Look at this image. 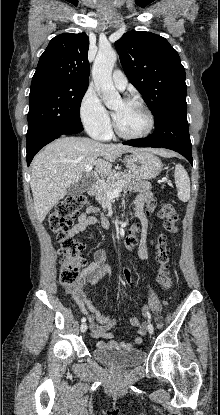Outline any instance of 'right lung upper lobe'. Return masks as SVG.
Returning a JSON list of instances; mask_svg holds the SVG:
<instances>
[{
  "label": "right lung upper lobe",
  "mask_w": 220,
  "mask_h": 415,
  "mask_svg": "<svg viewBox=\"0 0 220 415\" xmlns=\"http://www.w3.org/2000/svg\"><path fill=\"white\" fill-rule=\"evenodd\" d=\"M88 49L89 38L85 33H64L54 37L39 59L32 82L57 80L88 85Z\"/></svg>",
  "instance_id": "1"
}]
</instances>
